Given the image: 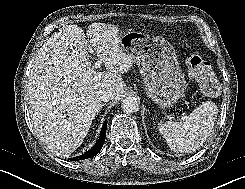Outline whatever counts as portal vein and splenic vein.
<instances>
[{
	"mask_svg": "<svg viewBox=\"0 0 245 189\" xmlns=\"http://www.w3.org/2000/svg\"><path fill=\"white\" fill-rule=\"evenodd\" d=\"M90 52L91 53H94V50H90ZM101 61L100 60H97V62L93 65V67L95 68V69H97V68H100L101 67Z\"/></svg>",
	"mask_w": 245,
	"mask_h": 189,
	"instance_id": "portal-vein-and-splenic-vein-1",
	"label": "portal vein and splenic vein"
}]
</instances>
